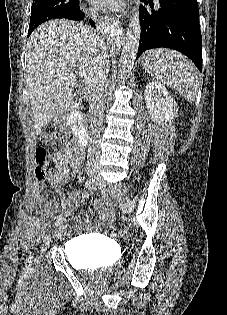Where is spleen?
<instances>
[{
	"instance_id": "spleen-1",
	"label": "spleen",
	"mask_w": 227,
	"mask_h": 315,
	"mask_svg": "<svg viewBox=\"0 0 227 315\" xmlns=\"http://www.w3.org/2000/svg\"><path fill=\"white\" fill-rule=\"evenodd\" d=\"M143 67L158 81L194 101L199 78L195 66L186 57L168 49L151 50L143 56Z\"/></svg>"
}]
</instances>
